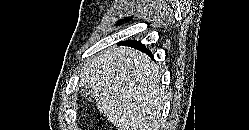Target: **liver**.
I'll return each instance as SVG.
<instances>
[{"instance_id":"1","label":"liver","mask_w":249,"mask_h":130,"mask_svg":"<svg viewBox=\"0 0 249 130\" xmlns=\"http://www.w3.org/2000/svg\"><path fill=\"white\" fill-rule=\"evenodd\" d=\"M160 75L144 53L113 46L86 65L79 85L94 89L96 106L117 130H159Z\"/></svg>"}]
</instances>
